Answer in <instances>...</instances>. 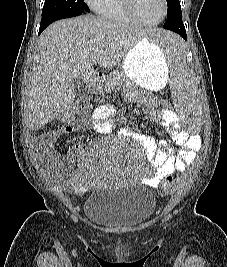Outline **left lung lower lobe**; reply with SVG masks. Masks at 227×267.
<instances>
[{
  "mask_svg": "<svg viewBox=\"0 0 227 267\" xmlns=\"http://www.w3.org/2000/svg\"><path fill=\"white\" fill-rule=\"evenodd\" d=\"M167 30H171L179 34L183 39L186 40V30L182 21V12L175 13L167 18L163 26Z\"/></svg>",
  "mask_w": 227,
  "mask_h": 267,
  "instance_id": "obj_1",
  "label": "left lung lower lobe"
}]
</instances>
